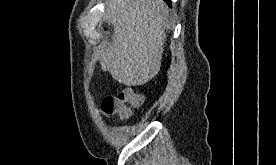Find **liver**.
Returning <instances> with one entry per match:
<instances>
[{
    "label": "liver",
    "mask_w": 276,
    "mask_h": 165,
    "mask_svg": "<svg viewBox=\"0 0 276 165\" xmlns=\"http://www.w3.org/2000/svg\"><path fill=\"white\" fill-rule=\"evenodd\" d=\"M168 12L163 0H108L104 19L114 31L101 45V69L127 86L150 81L161 67Z\"/></svg>",
    "instance_id": "1"
}]
</instances>
